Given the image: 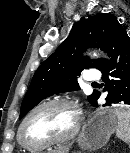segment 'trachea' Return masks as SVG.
<instances>
[{"label":"trachea","mask_w":130,"mask_h":153,"mask_svg":"<svg viewBox=\"0 0 130 153\" xmlns=\"http://www.w3.org/2000/svg\"><path fill=\"white\" fill-rule=\"evenodd\" d=\"M98 83H93V85H97Z\"/></svg>","instance_id":"obj_1"}]
</instances>
